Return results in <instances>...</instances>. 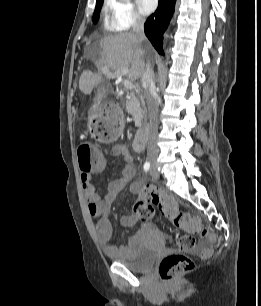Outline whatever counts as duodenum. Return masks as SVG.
I'll use <instances>...</instances> for the list:
<instances>
[{"label": "duodenum", "mask_w": 261, "mask_h": 306, "mask_svg": "<svg viewBox=\"0 0 261 306\" xmlns=\"http://www.w3.org/2000/svg\"><path fill=\"white\" fill-rule=\"evenodd\" d=\"M148 125L142 126L136 133L133 140V149L140 152L144 149L148 137Z\"/></svg>", "instance_id": "obj_1"}]
</instances>
